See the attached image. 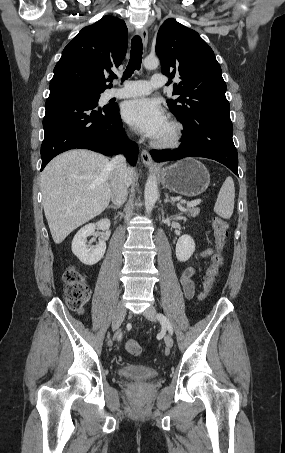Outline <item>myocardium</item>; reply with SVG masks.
I'll return each mask as SVG.
<instances>
[{
  "label": "myocardium",
  "instance_id": "myocardium-1",
  "mask_svg": "<svg viewBox=\"0 0 285 453\" xmlns=\"http://www.w3.org/2000/svg\"><path fill=\"white\" fill-rule=\"evenodd\" d=\"M167 123L171 128L170 134L163 139H155L152 142L153 146L161 149H169L177 147L181 144L184 136L182 123L175 118H169Z\"/></svg>",
  "mask_w": 285,
  "mask_h": 453
}]
</instances>
